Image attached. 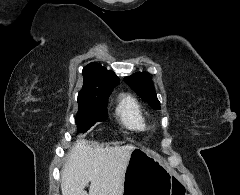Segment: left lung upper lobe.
I'll use <instances>...</instances> for the list:
<instances>
[{
    "mask_svg": "<svg viewBox=\"0 0 240 195\" xmlns=\"http://www.w3.org/2000/svg\"><path fill=\"white\" fill-rule=\"evenodd\" d=\"M126 83L153 109H160L155 88L150 75L146 72L135 73L124 78Z\"/></svg>",
    "mask_w": 240,
    "mask_h": 195,
    "instance_id": "1",
    "label": "left lung upper lobe"
}]
</instances>
